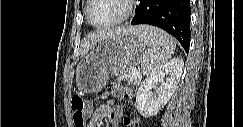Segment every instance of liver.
I'll return each mask as SVG.
<instances>
[{
    "label": "liver",
    "mask_w": 243,
    "mask_h": 127,
    "mask_svg": "<svg viewBox=\"0 0 243 127\" xmlns=\"http://www.w3.org/2000/svg\"><path fill=\"white\" fill-rule=\"evenodd\" d=\"M141 26L139 27H121V28H116V29H111V30H101V31H96L91 34H89L83 41L82 44V55H85L89 52L90 48L99 40L106 38L108 36H112L116 33L120 32H126V31H131V30H140Z\"/></svg>",
    "instance_id": "liver-1"
}]
</instances>
